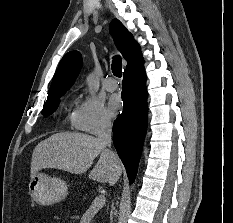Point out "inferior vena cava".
I'll use <instances>...</instances> for the list:
<instances>
[{
	"label": "inferior vena cava",
	"instance_id": "inferior-vena-cava-1",
	"mask_svg": "<svg viewBox=\"0 0 233 223\" xmlns=\"http://www.w3.org/2000/svg\"><path fill=\"white\" fill-rule=\"evenodd\" d=\"M111 131H112V125H111V119L109 117H106V115H103V117H100L98 121V131H97V137L99 143L101 145H108L110 147L111 145ZM108 153L112 159H115V153L111 151V149H108ZM113 223V221H111Z\"/></svg>",
	"mask_w": 233,
	"mask_h": 223
}]
</instances>
